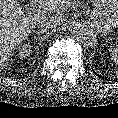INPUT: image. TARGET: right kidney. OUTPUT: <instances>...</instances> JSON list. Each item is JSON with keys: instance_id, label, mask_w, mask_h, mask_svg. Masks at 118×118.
Segmentation results:
<instances>
[{"instance_id": "right-kidney-1", "label": "right kidney", "mask_w": 118, "mask_h": 118, "mask_svg": "<svg viewBox=\"0 0 118 118\" xmlns=\"http://www.w3.org/2000/svg\"><path fill=\"white\" fill-rule=\"evenodd\" d=\"M32 46L31 45H29V44H25V45H22V46H19L18 47V51H19V53H18V56L20 57V58H26V57H28L31 53H32Z\"/></svg>"}]
</instances>
